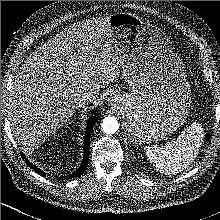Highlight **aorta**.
I'll return each mask as SVG.
<instances>
[{
	"label": "aorta",
	"instance_id": "aorta-1",
	"mask_svg": "<svg viewBox=\"0 0 220 220\" xmlns=\"http://www.w3.org/2000/svg\"><path fill=\"white\" fill-rule=\"evenodd\" d=\"M101 127L104 133L113 134L119 129V123L115 117L108 116L103 119Z\"/></svg>",
	"mask_w": 220,
	"mask_h": 220
}]
</instances>
